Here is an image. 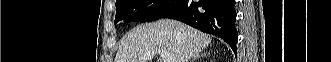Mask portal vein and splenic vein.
<instances>
[{
  "label": "portal vein and splenic vein",
  "instance_id": "18ae733b",
  "mask_svg": "<svg viewBox=\"0 0 331 62\" xmlns=\"http://www.w3.org/2000/svg\"><path fill=\"white\" fill-rule=\"evenodd\" d=\"M155 54H159L162 57L163 62H174L175 61L174 56L165 49H156L154 51L147 52L141 57V59L148 60V59L152 58Z\"/></svg>",
  "mask_w": 331,
  "mask_h": 62
}]
</instances>
